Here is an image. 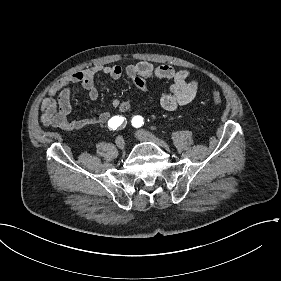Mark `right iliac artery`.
I'll list each match as a JSON object with an SVG mask.
<instances>
[{"instance_id":"1","label":"right iliac artery","mask_w":281,"mask_h":281,"mask_svg":"<svg viewBox=\"0 0 281 281\" xmlns=\"http://www.w3.org/2000/svg\"><path fill=\"white\" fill-rule=\"evenodd\" d=\"M127 124L126 118L122 116H114L108 121V126L111 130L123 129Z\"/></svg>"}]
</instances>
